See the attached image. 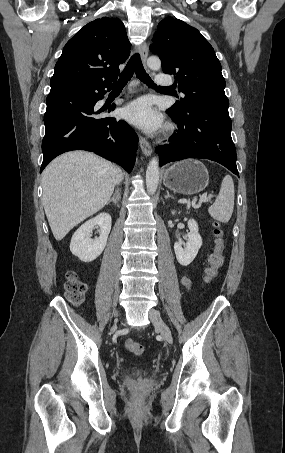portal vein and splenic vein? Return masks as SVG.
Listing matches in <instances>:
<instances>
[{
    "label": "portal vein and splenic vein",
    "instance_id": "obj_1",
    "mask_svg": "<svg viewBox=\"0 0 285 453\" xmlns=\"http://www.w3.org/2000/svg\"><path fill=\"white\" fill-rule=\"evenodd\" d=\"M210 199H211V198H210L209 196H207V194H204V195H202V196L200 197L199 203L208 202V201H210Z\"/></svg>",
    "mask_w": 285,
    "mask_h": 453
}]
</instances>
